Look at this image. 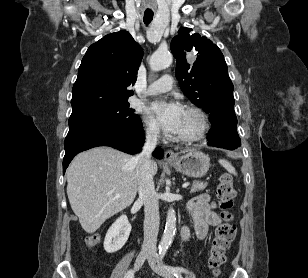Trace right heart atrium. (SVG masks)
Segmentation results:
<instances>
[{
	"instance_id": "1",
	"label": "right heart atrium",
	"mask_w": 308,
	"mask_h": 278,
	"mask_svg": "<svg viewBox=\"0 0 308 278\" xmlns=\"http://www.w3.org/2000/svg\"><path fill=\"white\" fill-rule=\"evenodd\" d=\"M146 135L151 140H157L161 136L160 128L150 119H146Z\"/></svg>"
}]
</instances>
